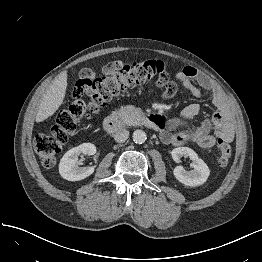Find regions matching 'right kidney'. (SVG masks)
I'll return each mask as SVG.
<instances>
[{"instance_id":"1","label":"right kidney","mask_w":262,"mask_h":262,"mask_svg":"<svg viewBox=\"0 0 262 262\" xmlns=\"http://www.w3.org/2000/svg\"><path fill=\"white\" fill-rule=\"evenodd\" d=\"M96 147L91 143H83L75 148L70 149L64 154L59 163L60 175L68 181H79L94 172L93 166L80 167L82 162L79 160L81 154L94 155Z\"/></svg>"}]
</instances>
